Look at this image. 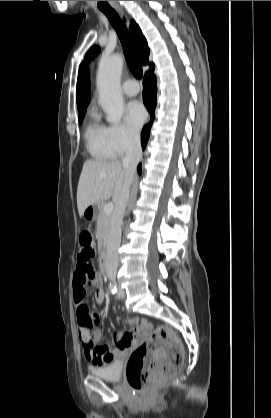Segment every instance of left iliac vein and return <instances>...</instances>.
<instances>
[{
    "mask_svg": "<svg viewBox=\"0 0 271 418\" xmlns=\"http://www.w3.org/2000/svg\"><path fill=\"white\" fill-rule=\"evenodd\" d=\"M117 296L121 299L125 298V291L120 286H118Z\"/></svg>",
    "mask_w": 271,
    "mask_h": 418,
    "instance_id": "1",
    "label": "left iliac vein"
}]
</instances>
